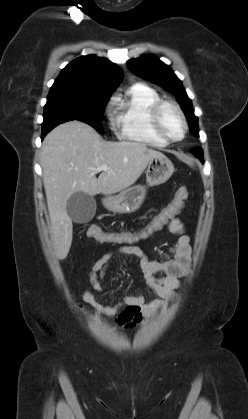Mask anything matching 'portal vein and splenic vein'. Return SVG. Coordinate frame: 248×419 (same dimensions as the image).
<instances>
[{"label":"portal vein and splenic vein","instance_id":"obj_1","mask_svg":"<svg viewBox=\"0 0 248 419\" xmlns=\"http://www.w3.org/2000/svg\"><path fill=\"white\" fill-rule=\"evenodd\" d=\"M93 170L96 172L109 171V167L107 165H101Z\"/></svg>","mask_w":248,"mask_h":419}]
</instances>
